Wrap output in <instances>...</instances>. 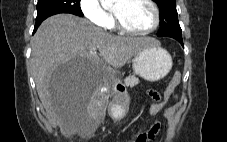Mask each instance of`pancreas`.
<instances>
[{"label": "pancreas", "instance_id": "1", "mask_svg": "<svg viewBox=\"0 0 227 142\" xmlns=\"http://www.w3.org/2000/svg\"><path fill=\"white\" fill-rule=\"evenodd\" d=\"M139 79L137 77H135L134 75L132 76H128L124 79V84L127 87H133L137 84H139Z\"/></svg>", "mask_w": 227, "mask_h": 142}]
</instances>
